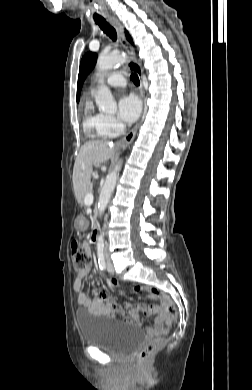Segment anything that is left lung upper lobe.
<instances>
[{
  "mask_svg": "<svg viewBox=\"0 0 252 390\" xmlns=\"http://www.w3.org/2000/svg\"><path fill=\"white\" fill-rule=\"evenodd\" d=\"M128 41H132L129 34H126ZM96 54L92 52H88L84 55L80 63L79 76H78V85H77V101H79L80 91L83 84L84 79L89 74V72L93 69L95 64Z\"/></svg>",
  "mask_w": 252,
  "mask_h": 390,
  "instance_id": "obj_1",
  "label": "left lung upper lobe"
}]
</instances>
